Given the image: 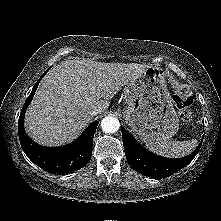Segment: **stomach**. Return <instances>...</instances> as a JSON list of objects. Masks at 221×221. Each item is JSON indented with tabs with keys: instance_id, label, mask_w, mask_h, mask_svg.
Here are the masks:
<instances>
[{
	"instance_id": "1",
	"label": "stomach",
	"mask_w": 221,
	"mask_h": 221,
	"mask_svg": "<svg viewBox=\"0 0 221 221\" xmlns=\"http://www.w3.org/2000/svg\"><path fill=\"white\" fill-rule=\"evenodd\" d=\"M124 99V120L144 142L167 141L178 132L179 119L162 68L149 66L130 81Z\"/></svg>"
}]
</instances>
